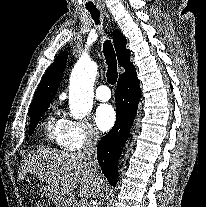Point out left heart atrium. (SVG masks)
I'll return each instance as SVG.
<instances>
[{
  "label": "left heart atrium",
  "mask_w": 206,
  "mask_h": 207,
  "mask_svg": "<svg viewBox=\"0 0 206 207\" xmlns=\"http://www.w3.org/2000/svg\"><path fill=\"white\" fill-rule=\"evenodd\" d=\"M95 123L102 131L111 129L116 120V113L114 108L109 104L100 105L95 112Z\"/></svg>",
  "instance_id": "left-heart-atrium-1"
}]
</instances>
